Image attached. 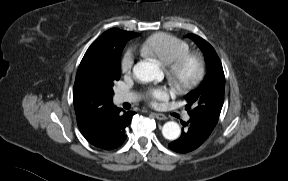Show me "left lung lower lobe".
I'll list each match as a JSON object with an SVG mask.
<instances>
[{
  "label": "left lung lower lobe",
  "instance_id": "obj_1",
  "mask_svg": "<svg viewBox=\"0 0 288 181\" xmlns=\"http://www.w3.org/2000/svg\"><path fill=\"white\" fill-rule=\"evenodd\" d=\"M182 125L185 130L182 128L180 138L168 145L170 149L180 153H187L198 148L205 142L216 126L215 123L199 116H190L189 121L182 122Z\"/></svg>",
  "mask_w": 288,
  "mask_h": 181
}]
</instances>
